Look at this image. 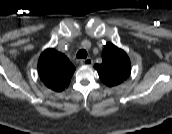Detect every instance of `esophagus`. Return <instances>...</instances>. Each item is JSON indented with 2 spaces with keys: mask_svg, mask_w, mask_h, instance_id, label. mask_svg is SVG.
Here are the masks:
<instances>
[{
  "mask_svg": "<svg viewBox=\"0 0 172 134\" xmlns=\"http://www.w3.org/2000/svg\"><path fill=\"white\" fill-rule=\"evenodd\" d=\"M80 63L82 65H86V66H92L93 65V60L91 58H86V59H82L80 61Z\"/></svg>",
  "mask_w": 172,
  "mask_h": 134,
  "instance_id": "1",
  "label": "esophagus"
}]
</instances>
